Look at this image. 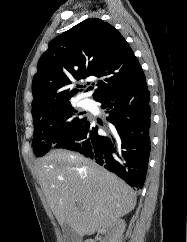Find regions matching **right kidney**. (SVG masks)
Returning <instances> with one entry per match:
<instances>
[{"mask_svg": "<svg viewBox=\"0 0 187 242\" xmlns=\"http://www.w3.org/2000/svg\"><path fill=\"white\" fill-rule=\"evenodd\" d=\"M126 228V224L122 219H116L111 223L105 225L103 227V231L108 233V241L107 242H117V239ZM85 242H92L91 240H87Z\"/></svg>", "mask_w": 187, "mask_h": 242, "instance_id": "1", "label": "right kidney"}]
</instances>
